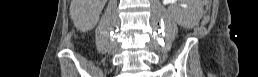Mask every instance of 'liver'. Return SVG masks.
<instances>
[{"instance_id": "obj_1", "label": "liver", "mask_w": 258, "mask_h": 77, "mask_svg": "<svg viewBox=\"0 0 258 77\" xmlns=\"http://www.w3.org/2000/svg\"><path fill=\"white\" fill-rule=\"evenodd\" d=\"M88 1L89 0H71L70 15L75 25L81 24L84 27L92 21L93 14L87 9Z\"/></svg>"}]
</instances>
